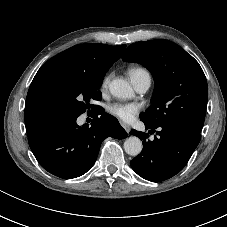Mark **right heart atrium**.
<instances>
[{"mask_svg": "<svg viewBox=\"0 0 227 227\" xmlns=\"http://www.w3.org/2000/svg\"><path fill=\"white\" fill-rule=\"evenodd\" d=\"M111 79V74L106 75L101 82V89L106 90Z\"/></svg>", "mask_w": 227, "mask_h": 227, "instance_id": "obj_1", "label": "right heart atrium"}]
</instances>
